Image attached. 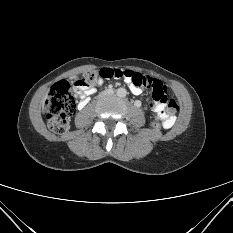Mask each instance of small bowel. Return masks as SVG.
<instances>
[{
	"mask_svg": "<svg viewBox=\"0 0 233 233\" xmlns=\"http://www.w3.org/2000/svg\"><path fill=\"white\" fill-rule=\"evenodd\" d=\"M125 81H126V85L128 87H130L133 94L139 95L142 92L141 88H138V87L132 85L126 79H125ZM103 83H104V79L101 78L97 82H95L92 86H88V87H82V86H79V85L75 84L74 90L77 93V95L79 96L78 107L79 108L85 107L86 104L88 103L89 95L93 94L97 90V88L100 87ZM150 106H151V109L156 112L157 118L164 122V124H165L164 127L165 128H169L173 124L174 119H170L165 114L163 104L152 102Z\"/></svg>",
	"mask_w": 233,
	"mask_h": 233,
	"instance_id": "small-bowel-1",
	"label": "small bowel"
}]
</instances>
